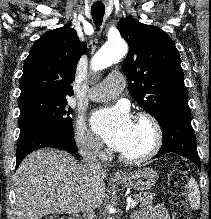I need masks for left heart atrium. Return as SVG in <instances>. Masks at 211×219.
<instances>
[{
  "label": "left heart atrium",
  "instance_id": "obj_1",
  "mask_svg": "<svg viewBox=\"0 0 211 219\" xmlns=\"http://www.w3.org/2000/svg\"><path fill=\"white\" fill-rule=\"evenodd\" d=\"M94 131L116 151H123L131 141L135 124L123 106L101 109L91 117Z\"/></svg>",
  "mask_w": 211,
  "mask_h": 219
}]
</instances>
